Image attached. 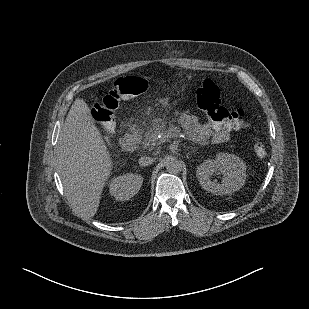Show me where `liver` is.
Returning <instances> with one entry per match:
<instances>
[{
	"label": "liver",
	"mask_w": 309,
	"mask_h": 309,
	"mask_svg": "<svg viewBox=\"0 0 309 309\" xmlns=\"http://www.w3.org/2000/svg\"><path fill=\"white\" fill-rule=\"evenodd\" d=\"M57 160L69 200L81 213L93 217L113 163L83 99H76L66 116L58 139Z\"/></svg>",
	"instance_id": "6515ba94"
}]
</instances>
